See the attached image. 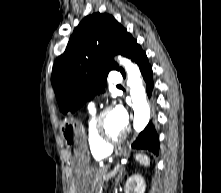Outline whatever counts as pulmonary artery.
<instances>
[{
  "label": "pulmonary artery",
  "mask_w": 221,
  "mask_h": 193,
  "mask_svg": "<svg viewBox=\"0 0 221 193\" xmlns=\"http://www.w3.org/2000/svg\"><path fill=\"white\" fill-rule=\"evenodd\" d=\"M110 81L113 85L118 86L122 83V76L119 71H113L110 77ZM89 109L94 110V103L89 104Z\"/></svg>",
  "instance_id": "1"
}]
</instances>
